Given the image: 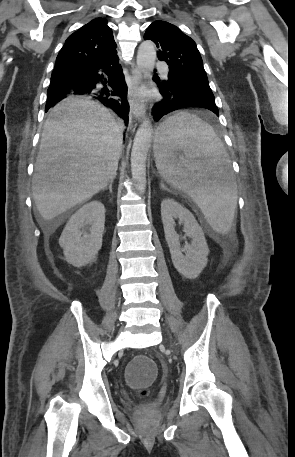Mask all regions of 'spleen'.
I'll use <instances>...</instances> for the list:
<instances>
[{"instance_id":"1","label":"spleen","mask_w":295,"mask_h":457,"mask_svg":"<svg viewBox=\"0 0 295 457\" xmlns=\"http://www.w3.org/2000/svg\"><path fill=\"white\" fill-rule=\"evenodd\" d=\"M178 150L183 157H176ZM154 157L160 175L193 199L212 229L228 233L237 206V183L212 127L189 112L176 113L158 128Z\"/></svg>"}]
</instances>
